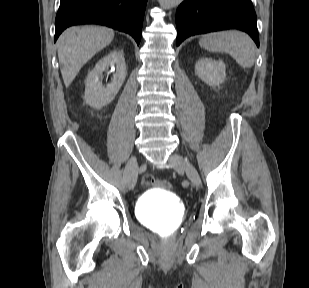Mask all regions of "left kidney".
<instances>
[{"mask_svg": "<svg viewBox=\"0 0 309 288\" xmlns=\"http://www.w3.org/2000/svg\"><path fill=\"white\" fill-rule=\"evenodd\" d=\"M195 74L206 84L218 86L226 77V65L222 60L201 58L195 64Z\"/></svg>", "mask_w": 309, "mask_h": 288, "instance_id": "left-kidney-1", "label": "left kidney"}]
</instances>
